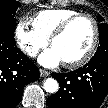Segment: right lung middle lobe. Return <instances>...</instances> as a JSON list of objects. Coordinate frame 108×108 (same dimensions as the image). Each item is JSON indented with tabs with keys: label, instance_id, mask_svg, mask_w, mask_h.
<instances>
[{
	"label": "right lung middle lobe",
	"instance_id": "right-lung-middle-lobe-1",
	"mask_svg": "<svg viewBox=\"0 0 108 108\" xmlns=\"http://www.w3.org/2000/svg\"><path fill=\"white\" fill-rule=\"evenodd\" d=\"M20 3L13 0L0 1V31L14 36L16 19L15 12Z\"/></svg>",
	"mask_w": 108,
	"mask_h": 108
}]
</instances>
